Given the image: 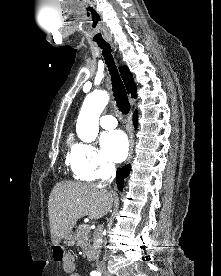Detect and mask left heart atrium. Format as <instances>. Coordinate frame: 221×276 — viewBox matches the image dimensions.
I'll use <instances>...</instances> for the list:
<instances>
[{
  "label": "left heart atrium",
  "mask_w": 221,
  "mask_h": 276,
  "mask_svg": "<svg viewBox=\"0 0 221 276\" xmlns=\"http://www.w3.org/2000/svg\"><path fill=\"white\" fill-rule=\"evenodd\" d=\"M101 145L105 156L113 162H121L127 156L128 139L122 131L116 130L104 134Z\"/></svg>",
  "instance_id": "obj_1"
}]
</instances>
